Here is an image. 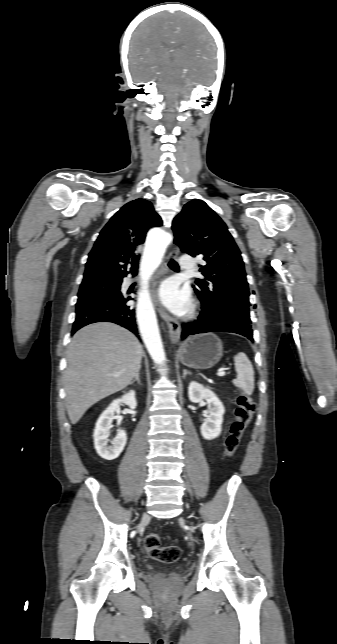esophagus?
<instances>
[{
	"mask_svg": "<svg viewBox=\"0 0 337 644\" xmlns=\"http://www.w3.org/2000/svg\"><path fill=\"white\" fill-rule=\"evenodd\" d=\"M177 256H178V251L173 250V251L170 252V254L168 256V259L177 258ZM165 271H166V268H163L162 271H161V274H163ZM154 297H155V303H156L157 310H158L160 316L167 323V326H168V329H169L170 340L173 343H177L179 341V339H180V332H181L180 324L176 319H174L172 316H170L166 312V310L161 306V304L159 303V300L157 298V291L156 290H155Z\"/></svg>",
	"mask_w": 337,
	"mask_h": 644,
	"instance_id": "34e87169",
	"label": "esophagus"
}]
</instances>
